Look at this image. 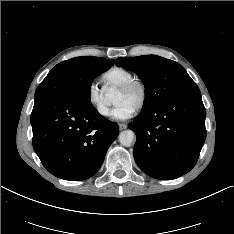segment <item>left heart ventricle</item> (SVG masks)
Instances as JSON below:
<instances>
[{
	"label": "left heart ventricle",
	"instance_id": "left-heart-ventricle-1",
	"mask_svg": "<svg viewBox=\"0 0 234 234\" xmlns=\"http://www.w3.org/2000/svg\"><path fill=\"white\" fill-rule=\"evenodd\" d=\"M139 99V92L137 89L132 90L129 93H122L120 91H118L116 93L115 99H114V104L118 105L121 103H127L130 106H132L133 108H135L137 102Z\"/></svg>",
	"mask_w": 234,
	"mask_h": 234
}]
</instances>
